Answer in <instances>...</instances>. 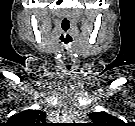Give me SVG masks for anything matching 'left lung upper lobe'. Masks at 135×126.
I'll use <instances>...</instances> for the list:
<instances>
[{
  "instance_id": "1",
  "label": "left lung upper lobe",
  "mask_w": 135,
  "mask_h": 126,
  "mask_svg": "<svg viewBox=\"0 0 135 126\" xmlns=\"http://www.w3.org/2000/svg\"><path fill=\"white\" fill-rule=\"evenodd\" d=\"M89 117L96 125H106L112 123L115 120L114 117L105 112H93L89 114Z\"/></svg>"
}]
</instances>
